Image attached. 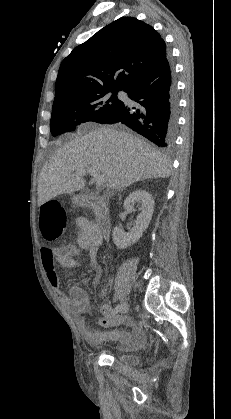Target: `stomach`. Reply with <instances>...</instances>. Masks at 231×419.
I'll use <instances>...</instances> for the list:
<instances>
[{"label":"stomach","instance_id":"obj_1","mask_svg":"<svg viewBox=\"0 0 231 419\" xmlns=\"http://www.w3.org/2000/svg\"><path fill=\"white\" fill-rule=\"evenodd\" d=\"M72 201L77 202L78 201V197L77 196H72Z\"/></svg>","mask_w":231,"mask_h":419}]
</instances>
